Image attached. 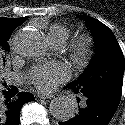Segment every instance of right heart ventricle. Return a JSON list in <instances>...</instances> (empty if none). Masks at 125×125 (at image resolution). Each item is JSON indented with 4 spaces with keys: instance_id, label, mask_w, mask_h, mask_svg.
<instances>
[{
    "instance_id": "right-heart-ventricle-1",
    "label": "right heart ventricle",
    "mask_w": 125,
    "mask_h": 125,
    "mask_svg": "<svg viewBox=\"0 0 125 125\" xmlns=\"http://www.w3.org/2000/svg\"><path fill=\"white\" fill-rule=\"evenodd\" d=\"M70 33V28L65 25L55 23L49 27L47 36L51 42H62L64 44Z\"/></svg>"
}]
</instances>
